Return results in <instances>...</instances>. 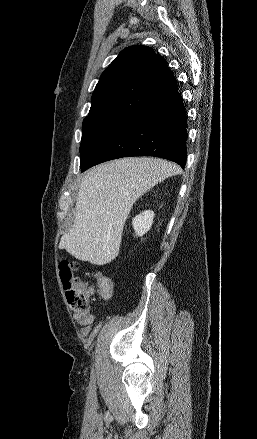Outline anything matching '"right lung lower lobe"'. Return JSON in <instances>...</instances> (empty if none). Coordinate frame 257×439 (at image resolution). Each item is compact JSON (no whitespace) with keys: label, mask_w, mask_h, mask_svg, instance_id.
Returning a JSON list of instances; mask_svg holds the SVG:
<instances>
[{"label":"right lung lower lobe","mask_w":257,"mask_h":439,"mask_svg":"<svg viewBox=\"0 0 257 439\" xmlns=\"http://www.w3.org/2000/svg\"><path fill=\"white\" fill-rule=\"evenodd\" d=\"M187 122L178 89L126 118L101 144L81 171L116 158L154 156L186 164Z\"/></svg>","instance_id":"right-lung-lower-lobe-1"}]
</instances>
